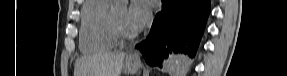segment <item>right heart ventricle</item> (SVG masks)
<instances>
[{"mask_svg":"<svg viewBox=\"0 0 287 76\" xmlns=\"http://www.w3.org/2000/svg\"><path fill=\"white\" fill-rule=\"evenodd\" d=\"M111 0H87L81 11L80 48L84 52H100L112 49L118 42L113 33L109 14Z\"/></svg>","mask_w":287,"mask_h":76,"instance_id":"e07e8e85","label":"right heart ventricle"}]
</instances>
